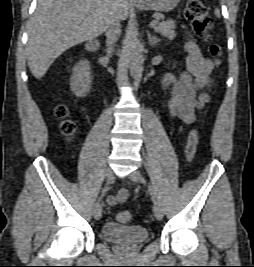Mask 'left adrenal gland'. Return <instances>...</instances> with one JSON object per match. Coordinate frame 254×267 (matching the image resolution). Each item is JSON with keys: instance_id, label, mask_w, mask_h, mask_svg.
Wrapping results in <instances>:
<instances>
[{"instance_id": "a2214340", "label": "left adrenal gland", "mask_w": 254, "mask_h": 267, "mask_svg": "<svg viewBox=\"0 0 254 267\" xmlns=\"http://www.w3.org/2000/svg\"><path fill=\"white\" fill-rule=\"evenodd\" d=\"M147 35H148V41H149V44L154 47L156 46L159 42H160V39H158L157 37L155 36H152V34L150 33V31H147Z\"/></svg>"}]
</instances>
